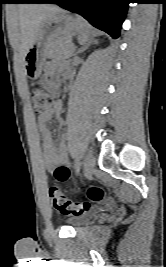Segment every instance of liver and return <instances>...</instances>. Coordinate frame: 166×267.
Returning <instances> with one entry per match:
<instances>
[{"label":"liver","instance_id":"1","mask_svg":"<svg viewBox=\"0 0 166 267\" xmlns=\"http://www.w3.org/2000/svg\"><path fill=\"white\" fill-rule=\"evenodd\" d=\"M61 9L49 4H22L18 6V29L14 37L21 57H25L35 41L41 22Z\"/></svg>","mask_w":166,"mask_h":267}]
</instances>
